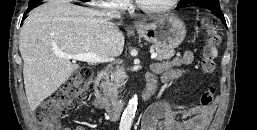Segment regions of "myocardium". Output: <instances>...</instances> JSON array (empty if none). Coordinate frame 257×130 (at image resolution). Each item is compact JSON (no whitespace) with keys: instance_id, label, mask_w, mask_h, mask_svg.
Segmentation results:
<instances>
[{"instance_id":"1","label":"myocardium","mask_w":257,"mask_h":130,"mask_svg":"<svg viewBox=\"0 0 257 130\" xmlns=\"http://www.w3.org/2000/svg\"><path fill=\"white\" fill-rule=\"evenodd\" d=\"M179 2V0H169L166 4L159 6V7H148L141 3L140 0H136V4L138 8L146 13L150 14H159V13H164L176 6V4Z\"/></svg>"}]
</instances>
